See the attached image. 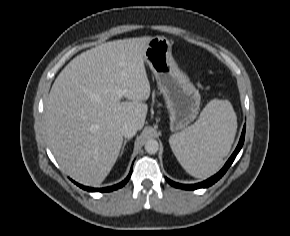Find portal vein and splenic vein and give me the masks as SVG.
Instances as JSON below:
<instances>
[{"label": "portal vein and splenic vein", "instance_id": "1", "mask_svg": "<svg viewBox=\"0 0 290 236\" xmlns=\"http://www.w3.org/2000/svg\"><path fill=\"white\" fill-rule=\"evenodd\" d=\"M118 97H119V98H122V93H119Z\"/></svg>", "mask_w": 290, "mask_h": 236}]
</instances>
